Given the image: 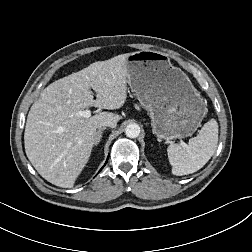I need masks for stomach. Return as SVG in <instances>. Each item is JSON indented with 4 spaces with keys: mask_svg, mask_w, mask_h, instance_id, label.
Listing matches in <instances>:
<instances>
[{
    "mask_svg": "<svg viewBox=\"0 0 252 252\" xmlns=\"http://www.w3.org/2000/svg\"><path fill=\"white\" fill-rule=\"evenodd\" d=\"M127 81L151 118L160 139L191 136L206 115L204 99L167 54L142 50L127 54Z\"/></svg>",
    "mask_w": 252,
    "mask_h": 252,
    "instance_id": "stomach-1",
    "label": "stomach"
}]
</instances>
